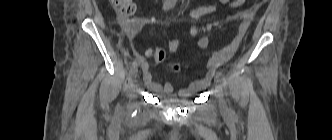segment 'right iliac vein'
I'll return each instance as SVG.
<instances>
[{
  "mask_svg": "<svg viewBox=\"0 0 332 140\" xmlns=\"http://www.w3.org/2000/svg\"><path fill=\"white\" fill-rule=\"evenodd\" d=\"M137 70H138V65L134 66L133 69L131 70L130 79H129V83H128L129 88L132 87V79L136 76Z\"/></svg>",
  "mask_w": 332,
  "mask_h": 140,
  "instance_id": "obj_1",
  "label": "right iliac vein"
}]
</instances>
